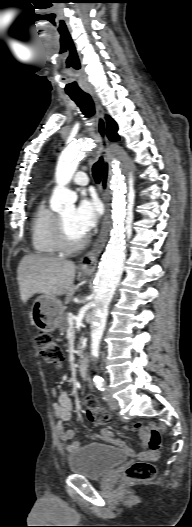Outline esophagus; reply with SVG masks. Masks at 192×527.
I'll return each instance as SVG.
<instances>
[{"label": "esophagus", "instance_id": "1", "mask_svg": "<svg viewBox=\"0 0 192 527\" xmlns=\"http://www.w3.org/2000/svg\"><path fill=\"white\" fill-rule=\"evenodd\" d=\"M89 94L93 97L96 103L97 110V131L101 141L104 164H103V174L101 179V195L105 205V214L100 229L98 238L96 239L93 247L81 258L80 260V269L84 272H92L95 270L98 257L102 252L105 243L107 241L108 231H109V214H108V182L110 176V146L109 141L106 135V121L104 116V110L102 106L98 103V100L93 91H89Z\"/></svg>", "mask_w": 192, "mask_h": 527}]
</instances>
